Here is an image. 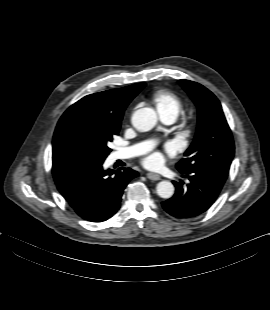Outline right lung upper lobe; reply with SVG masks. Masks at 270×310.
I'll use <instances>...</instances> for the list:
<instances>
[{"mask_svg":"<svg viewBox=\"0 0 270 310\" xmlns=\"http://www.w3.org/2000/svg\"><path fill=\"white\" fill-rule=\"evenodd\" d=\"M144 86L145 83H137L120 89L91 94L70 106L60 118L54 133L53 164L75 160L69 141V125L77 113L91 110L104 123L120 128L125 108Z\"/></svg>","mask_w":270,"mask_h":310,"instance_id":"obj_1","label":"right lung upper lobe"}]
</instances>
